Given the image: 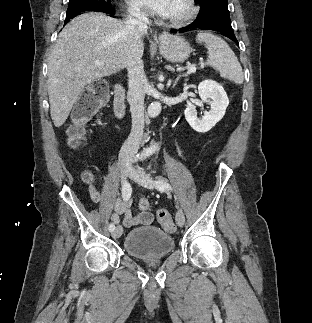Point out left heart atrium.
<instances>
[{
  "label": "left heart atrium",
  "instance_id": "39dd6f15",
  "mask_svg": "<svg viewBox=\"0 0 312 323\" xmlns=\"http://www.w3.org/2000/svg\"><path fill=\"white\" fill-rule=\"evenodd\" d=\"M135 8L144 12H171V0H131Z\"/></svg>",
  "mask_w": 312,
  "mask_h": 323
}]
</instances>
